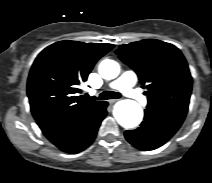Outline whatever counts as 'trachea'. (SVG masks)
Returning a JSON list of instances; mask_svg holds the SVG:
<instances>
[{"instance_id": "obj_1", "label": "trachea", "mask_w": 212, "mask_h": 183, "mask_svg": "<svg viewBox=\"0 0 212 183\" xmlns=\"http://www.w3.org/2000/svg\"><path fill=\"white\" fill-rule=\"evenodd\" d=\"M120 97H121V94L118 92L104 91L99 95L98 99L99 100H107V99H118Z\"/></svg>"}]
</instances>
